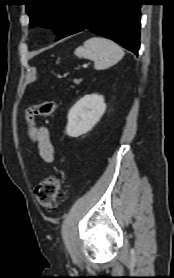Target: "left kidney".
<instances>
[{
    "instance_id": "obj_1",
    "label": "left kidney",
    "mask_w": 174,
    "mask_h": 278,
    "mask_svg": "<svg viewBox=\"0 0 174 278\" xmlns=\"http://www.w3.org/2000/svg\"><path fill=\"white\" fill-rule=\"evenodd\" d=\"M105 110L106 104L102 95H85L68 113L67 135L79 137L89 132L99 122Z\"/></svg>"
}]
</instances>
